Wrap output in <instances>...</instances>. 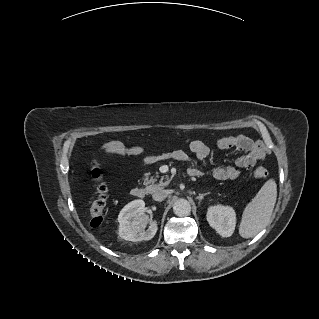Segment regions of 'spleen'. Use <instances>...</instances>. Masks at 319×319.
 Masks as SVG:
<instances>
[{
	"instance_id": "spleen-1",
	"label": "spleen",
	"mask_w": 319,
	"mask_h": 319,
	"mask_svg": "<svg viewBox=\"0 0 319 319\" xmlns=\"http://www.w3.org/2000/svg\"><path fill=\"white\" fill-rule=\"evenodd\" d=\"M277 199V184L270 179L264 183L256 196L249 202L242 214L239 235L251 238L269 223Z\"/></svg>"
}]
</instances>
